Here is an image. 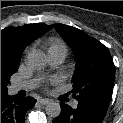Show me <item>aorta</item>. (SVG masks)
I'll return each instance as SVG.
<instances>
[{
  "instance_id": "762f6f07",
  "label": "aorta",
  "mask_w": 123,
  "mask_h": 123,
  "mask_svg": "<svg viewBox=\"0 0 123 123\" xmlns=\"http://www.w3.org/2000/svg\"><path fill=\"white\" fill-rule=\"evenodd\" d=\"M27 64L35 69H42L47 65L48 58L42 51H30L26 57ZM46 114L49 117L56 118L61 113L60 104L57 102H50L45 108Z\"/></svg>"
}]
</instances>
